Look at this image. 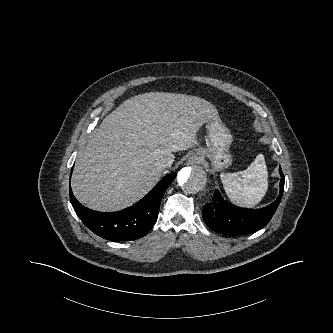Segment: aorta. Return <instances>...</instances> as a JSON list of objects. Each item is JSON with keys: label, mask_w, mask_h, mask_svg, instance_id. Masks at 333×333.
<instances>
[{"label": "aorta", "mask_w": 333, "mask_h": 333, "mask_svg": "<svg viewBox=\"0 0 333 333\" xmlns=\"http://www.w3.org/2000/svg\"><path fill=\"white\" fill-rule=\"evenodd\" d=\"M178 186L187 194H200L206 190V173L200 167H184L177 174Z\"/></svg>", "instance_id": "1"}]
</instances>
